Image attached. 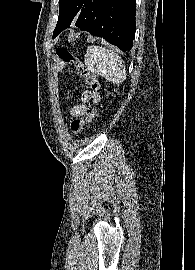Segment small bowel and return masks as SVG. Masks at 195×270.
<instances>
[{
    "mask_svg": "<svg viewBox=\"0 0 195 270\" xmlns=\"http://www.w3.org/2000/svg\"><path fill=\"white\" fill-rule=\"evenodd\" d=\"M90 99H93L94 102H97L99 100V97L97 94L92 93V92L84 93L83 101L86 102ZM85 113H86V106L83 104L74 106L70 111V114L72 117H79V116L84 115Z\"/></svg>",
    "mask_w": 195,
    "mask_h": 270,
    "instance_id": "small-bowel-1",
    "label": "small bowel"
}]
</instances>
